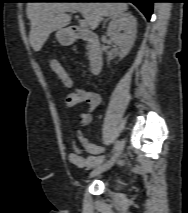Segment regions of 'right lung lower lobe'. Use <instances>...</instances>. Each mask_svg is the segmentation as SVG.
<instances>
[{
	"label": "right lung lower lobe",
	"mask_w": 188,
	"mask_h": 213,
	"mask_svg": "<svg viewBox=\"0 0 188 213\" xmlns=\"http://www.w3.org/2000/svg\"><path fill=\"white\" fill-rule=\"evenodd\" d=\"M31 1H44V0H31ZM105 1V0H100ZM112 1H123V2H131L135 4L141 12L145 15V17L149 20L152 14L153 2L155 0H112Z\"/></svg>",
	"instance_id": "98d812e1"
}]
</instances>
